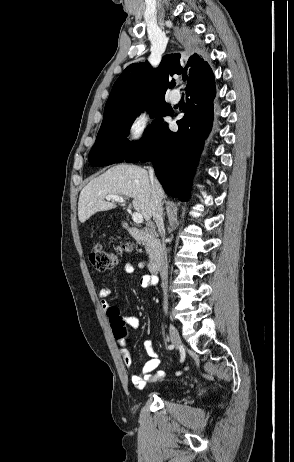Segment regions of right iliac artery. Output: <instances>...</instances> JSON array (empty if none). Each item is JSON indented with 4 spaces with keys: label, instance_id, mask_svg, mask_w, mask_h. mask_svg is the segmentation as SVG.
I'll return each instance as SVG.
<instances>
[{
    "label": "right iliac artery",
    "instance_id": "1",
    "mask_svg": "<svg viewBox=\"0 0 294 462\" xmlns=\"http://www.w3.org/2000/svg\"><path fill=\"white\" fill-rule=\"evenodd\" d=\"M168 348H169V349H173L174 346H173V345H169Z\"/></svg>",
    "mask_w": 294,
    "mask_h": 462
}]
</instances>
